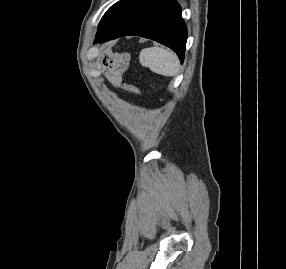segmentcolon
<instances>
[{
    "mask_svg": "<svg viewBox=\"0 0 286 269\" xmlns=\"http://www.w3.org/2000/svg\"><path fill=\"white\" fill-rule=\"evenodd\" d=\"M123 67H125V64L122 65V68H123ZM131 90H132L133 92H137V90H136L135 88H131Z\"/></svg>",
    "mask_w": 286,
    "mask_h": 269,
    "instance_id": "1",
    "label": "colon"
}]
</instances>
